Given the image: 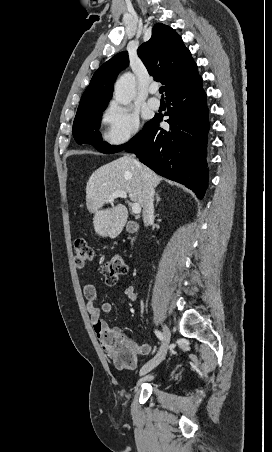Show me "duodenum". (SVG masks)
Returning <instances> with one entry per match:
<instances>
[{
  "mask_svg": "<svg viewBox=\"0 0 272 452\" xmlns=\"http://www.w3.org/2000/svg\"><path fill=\"white\" fill-rule=\"evenodd\" d=\"M127 229L130 232L137 234V232L139 231V224L135 221H130L127 223Z\"/></svg>",
  "mask_w": 272,
  "mask_h": 452,
  "instance_id": "410a0bca",
  "label": "duodenum"
}]
</instances>
